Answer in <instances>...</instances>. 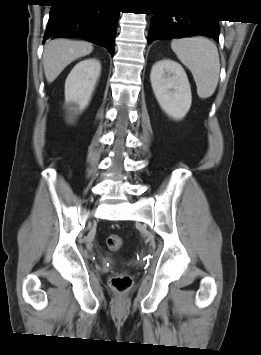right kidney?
<instances>
[{
  "label": "right kidney",
  "mask_w": 261,
  "mask_h": 355,
  "mask_svg": "<svg viewBox=\"0 0 261 355\" xmlns=\"http://www.w3.org/2000/svg\"><path fill=\"white\" fill-rule=\"evenodd\" d=\"M101 72V63L95 58L80 61L65 81V108L73 120L90 100Z\"/></svg>",
  "instance_id": "ca27d5eb"
}]
</instances>
